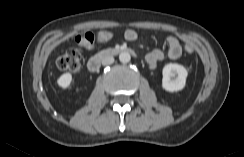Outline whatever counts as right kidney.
Listing matches in <instances>:
<instances>
[{
	"instance_id": "right-kidney-1",
	"label": "right kidney",
	"mask_w": 244,
	"mask_h": 157,
	"mask_svg": "<svg viewBox=\"0 0 244 157\" xmlns=\"http://www.w3.org/2000/svg\"><path fill=\"white\" fill-rule=\"evenodd\" d=\"M72 82V75L70 73H64L62 74L58 80L57 84L62 89H68L70 87V84Z\"/></svg>"
}]
</instances>
